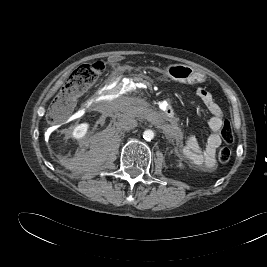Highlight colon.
<instances>
[{
    "label": "colon",
    "instance_id": "5ec220e1",
    "mask_svg": "<svg viewBox=\"0 0 267 267\" xmlns=\"http://www.w3.org/2000/svg\"><path fill=\"white\" fill-rule=\"evenodd\" d=\"M103 69L102 62L83 64L77 67L53 101L47 114L48 122L58 124L66 119L74 110L78 97L97 80ZM220 134L224 142H233L234 133L229 121H224ZM218 159L221 163H228L231 159V150L228 147L221 148Z\"/></svg>",
    "mask_w": 267,
    "mask_h": 267
}]
</instances>
